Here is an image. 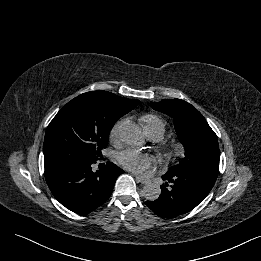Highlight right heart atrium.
<instances>
[{
  "mask_svg": "<svg viewBox=\"0 0 261 261\" xmlns=\"http://www.w3.org/2000/svg\"><path fill=\"white\" fill-rule=\"evenodd\" d=\"M121 121H117L112 128L110 129L109 132V139L111 142L116 143L120 139V129H121Z\"/></svg>",
  "mask_w": 261,
  "mask_h": 261,
  "instance_id": "right-heart-atrium-1",
  "label": "right heart atrium"
}]
</instances>
